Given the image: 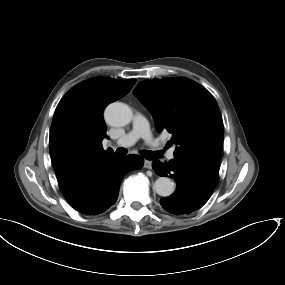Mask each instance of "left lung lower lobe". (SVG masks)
Returning a JSON list of instances; mask_svg holds the SVG:
<instances>
[{"label": "left lung lower lobe", "instance_id": "1", "mask_svg": "<svg viewBox=\"0 0 285 285\" xmlns=\"http://www.w3.org/2000/svg\"><path fill=\"white\" fill-rule=\"evenodd\" d=\"M152 167L157 175H171L176 181V191L160 199L162 207L175 215L190 214L200 209L219 180V167L198 160L174 158L168 163L154 161Z\"/></svg>", "mask_w": 285, "mask_h": 285}]
</instances>
